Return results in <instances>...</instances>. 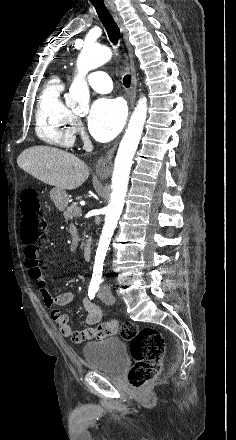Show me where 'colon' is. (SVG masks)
<instances>
[{
	"label": "colon",
	"instance_id": "1",
	"mask_svg": "<svg viewBox=\"0 0 236 440\" xmlns=\"http://www.w3.org/2000/svg\"><path fill=\"white\" fill-rule=\"evenodd\" d=\"M48 226L42 211L41 201L32 189H26L21 195V237L25 243L34 244L47 232ZM123 339L130 341L131 352L135 360L128 372V383L139 388L155 379L161 371L164 356V341L160 332L154 328H139L126 322L114 330Z\"/></svg>",
	"mask_w": 236,
	"mask_h": 440
}]
</instances>
